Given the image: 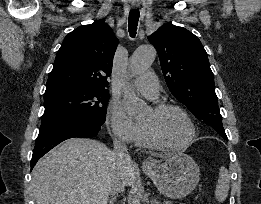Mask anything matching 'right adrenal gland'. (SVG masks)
Segmentation results:
<instances>
[{"label": "right adrenal gland", "mask_w": 261, "mask_h": 204, "mask_svg": "<svg viewBox=\"0 0 261 204\" xmlns=\"http://www.w3.org/2000/svg\"><path fill=\"white\" fill-rule=\"evenodd\" d=\"M116 199H117V196L112 197V199L109 201V204H114Z\"/></svg>", "instance_id": "2a0ac1e0"}]
</instances>
